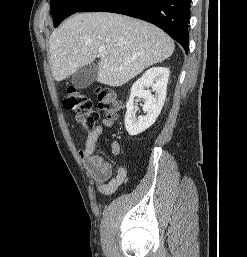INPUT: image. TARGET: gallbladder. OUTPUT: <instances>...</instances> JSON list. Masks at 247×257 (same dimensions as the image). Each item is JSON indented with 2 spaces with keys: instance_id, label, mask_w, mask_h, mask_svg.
Instances as JSON below:
<instances>
[{
  "instance_id": "gallbladder-1",
  "label": "gallbladder",
  "mask_w": 247,
  "mask_h": 257,
  "mask_svg": "<svg viewBox=\"0 0 247 257\" xmlns=\"http://www.w3.org/2000/svg\"><path fill=\"white\" fill-rule=\"evenodd\" d=\"M98 65L90 63L80 67L72 77V84L78 89L87 88L97 78Z\"/></svg>"
}]
</instances>
